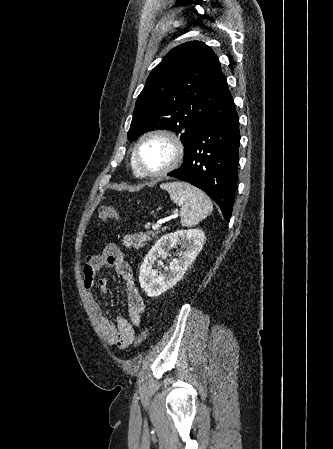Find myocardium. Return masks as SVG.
Returning a JSON list of instances; mask_svg holds the SVG:
<instances>
[{
	"mask_svg": "<svg viewBox=\"0 0 333 449\" xmlns=\"http://www.w3.org/2000/svg\"><path fill=\"white\" fill-rule=\"evenodd\" d=\"M152 138H161L166 140L167 142H169L172 150L170 161L163 168L155 171L145 169L140 161L141 146L145 141ZM184 152L185 151L183 143L181 142L179 137L175 135L173 132L166 129H153L143 133L139 137L138 141L134 145L132 157L136 165L139 176L141 178L153 179L162 177L172 172L174 169H176L183 160Z\"/></svg>",
	"mask_w": 333,
	"mask_h": 449,
	"instance_id": "obj_1",
	"label": "myocardium"
}]
</instances>
